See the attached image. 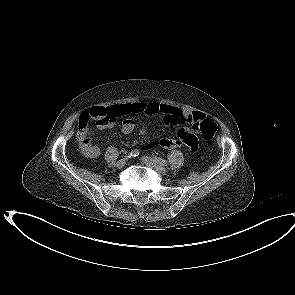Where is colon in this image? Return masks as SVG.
Listing matches in <instances>:
<instances>
[{"mask_svg":"<svg viewBox=\"0 0 295 295\" xmlns=\"http://www.w3.org/2000/svg\"><path fill=\"white\" fill-rule=\"evenodd\" d=\"M109 118L108 109L105 107H96L91 110L85 111L79 118V130L77 132V140L81 146H85L88 143L89 136L91 135V124L98 125ZM195 128L198 129L207 142H212L216 131L217 125L214 120L206 118L195 124Z\"/></svg>","mask_w":295,"mask_h":295,"instance_id":"1","label":"colon"}]
</instances>
